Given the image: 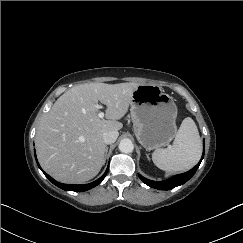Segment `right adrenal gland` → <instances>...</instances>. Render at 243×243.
I'll list each match as a JSON object with an SVG mask.
<instances>
[{
  "label": "right adrenal gland",
  "instance_id": "2a0ac1e0",
  "mask_svg": "<svg viewBox=\"0 0 243 243\" xmlns=\"http://www.w3.org/2000/svg\"><path fill=\"white\" fill-rule=\"evenodd\" d=\"M108 147H105V157L107 155Z\"/></svg>",
  "mask_w": 243,
  "mask_h": 243
}]
</instances>
